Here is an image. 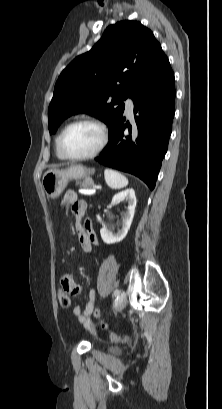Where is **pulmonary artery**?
Segmentation results:
<instances>
[{
	"instance_id": "e3ab8cb5",
	"label": "pulmonary artery",
	"mask_w": 222,
	"mask_h": 409,
	"mask_svg": "<svg viewBox=\"0 0 222 409\" xmlns=\"http://www.w3.org/2000/svg\"><path fill=\"white\" fill-rule=\"evenodd\" d=\"M125 108L127 115L132 118L133 117V101L131 99H127L125 101Z\"/></svg>"
}]
</instances>
